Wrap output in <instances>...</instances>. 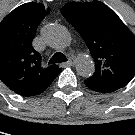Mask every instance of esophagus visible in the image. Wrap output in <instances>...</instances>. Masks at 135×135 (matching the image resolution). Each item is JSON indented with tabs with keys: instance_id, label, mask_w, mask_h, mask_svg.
Returning a JSON list of instances; mask_svg holds the SVG:
<instances>
[{
	"instance_id": "34e87169",
	"label": "esophagus",
	"mask_w": 135,
	"mask_h": 135,
	"mask_svg": "<svg viewBox=\"0 0 135 135\" xmlns=\"http://www.w3.org/2000/svg\"><path fill=\"white\" fill-rule=\"evenodd\" d=\"M75 63V59L74 58H69V60L67 62L64 63V65L66 66H71Z\"/></svg>"
}]
</instances>
